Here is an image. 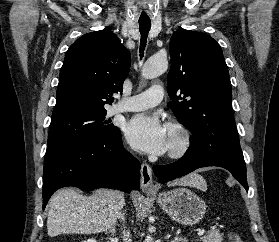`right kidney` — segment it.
Returning <instances> with one entry per match:
<instances>
[{"label":"right kidney","mask_w":279,"mask_h":242,"mask_svg":"<svg viewBox=\"0 0 279 242\" xmlns=\"http://www.w3.org/2000/svg\"><path fill=\"white\" fill-rule=\"evenodd\" d=\"M83 242H97V241H96V240H94V239H88V240L83 241Z\"/></svg>","instance_id":"1"}]
</instances>
